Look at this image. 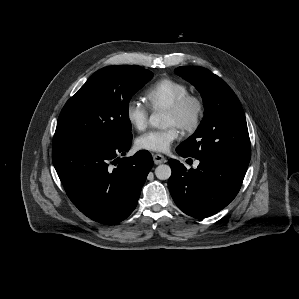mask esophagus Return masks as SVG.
<instances>
[{
    "label": "esophagus",
    "mask_w": 299,
    "mask_h": 299,
    "mask_svg": "<svg viewBox=\"0 0 299 299\" xmlns=\"http://www.w3.org/2000/svg\"><path fill=\"white\" fill-rule=\"evenodd\" d=\"M153 160L156 165L166 162V158L161 154H153Z\"/></svg>",
    "instance_id": "obj_1"
}]
</instances>
